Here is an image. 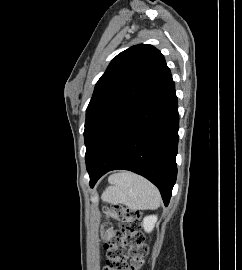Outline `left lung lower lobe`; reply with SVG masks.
Here are the masks:
<instances>
[{
	"label": "left lung lower lobe",
	"mask_w": 242,
	"mask_h": 270,
	"mask_svg": "<svg viewBox=\"0 0 242 270\" xmlns=\"http://www.w3.org/2000/svg\"><path fill=\"white\" fill-rule=\"evenodd\" d=\"M179 114L169 72L111 130L88 167L90 186L115 169L135 172L160 190L168 205L176 181Z\"/></svg>",
	"instance_id": "0a47b994"
}]
</instances>
